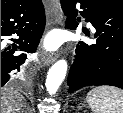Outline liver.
I'll return each mask as SVG.
<instances>
[{
  "label": "liver",
  "instance_id": "1",
  "mask_svg": "<svg viewBox=\"0 0 123 113\" xmlns=\"http://www.w3.org/2000/svg\"><path fill=\"white\" fill-rule=\"evenodd\" d=\"M24 97L12 87L1 88V113H23Z\"/></svg>",
  "mask_w": 123,
  "mask_h": 113
}]
</instances>
